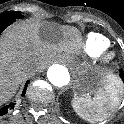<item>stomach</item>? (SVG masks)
Here are the masks:
<instances>
[{
	"mask_svg": "<svg viewBox=\"0 0 124 124\" xmlns=\"http://www.w3.org/2000/svg\"><path fill=\"white\" fill-rule=\"evenodd\" d=\"M112 78L111 75L82 72L74 86L75 95L81 97L97 95L107 84L112 83Z\"/></svg>",
	"mask_w": 124,
	"mask_h": 124,
	"instance_id": "0dacf381",
	"label": "stomach"
}]
</instances>
